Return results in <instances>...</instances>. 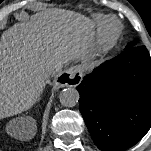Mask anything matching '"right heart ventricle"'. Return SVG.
<instances>
[{"label": "right heart ventricle", "mask_w": 151, "mask_h": 151, "mask_svg": "<svg viewBox=\"0 0 151 151\" xmlns=\"http://www.w3.org/2000/svg\"><path fill=\"white\" fill-rule=\"evenodd\" d=\"M96 19L97 21H100L102 19V16H98Z\"/></svg>", "instance_id": "right-heart-ventricle-1"}]
</instances>
